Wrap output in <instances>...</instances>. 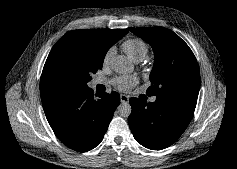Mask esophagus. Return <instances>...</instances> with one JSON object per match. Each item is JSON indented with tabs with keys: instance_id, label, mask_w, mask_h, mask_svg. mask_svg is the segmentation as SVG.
I'll return each instance as SVG.
<instances>
[{
	"instance_id": "1",
	"label": "esophagus",
	"mask_w": 237,
	"mask_h": 169,
	"mask_svg": "<svg viewBox=\"0 0 237 169\" xmlns=\"http://www.w3.org/2000/svg\"><path fill=\"white\" fill-rule=\"evenodd\" d=\"M120 100L122 103H128L129 97L127 95L121 94L120 95Z\"/></svg>"
}]
</instances>
